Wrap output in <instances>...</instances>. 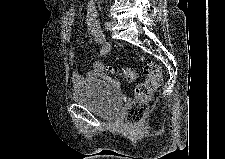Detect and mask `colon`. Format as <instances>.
Returning <instances> with one entry per match:
<instances>
[{
    "label": "colon",
    "mask_w": 225,
    "mask_h": 159,
    "mask_svg": "<svg viewBox=\"0 0 225 159\" xmlns=\"http://www.w3.org/2000/svg\"><path fill=\"white\" fill-rule=\"evenodd\" d=\"M109 71L119 74L128 82H133L137 78V72L132 68H122L116 71L113 67H109ZM142 71L146 80L135 87L134 100L126 110L125 119L131 125L141 123L148 111L153 92L162 82V69L152 60H143Z\"/></svg>",
    "instance_id": "obj_1"
}]
</instances>
